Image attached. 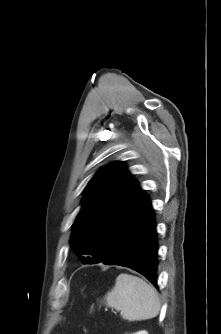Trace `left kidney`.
Wrapping results in <instances>:
<instances>
[{"label": "left kidney", "instance_id": "left-kidney-1", "mask_svg": "<svg viewBox=\"0 0 221 334\" xmlns=\"http://www.w3.org/2000/svg\"><path fill=\"white\" fill-rule=\"evenodd\" d=\"M133 334H148L147 331H139V332H136V333H133Z\"/></svg>", "mask_w": 221, "mask_h": 334}]
</instances>
